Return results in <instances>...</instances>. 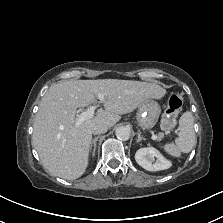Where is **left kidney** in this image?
I'll return each instance as SVG.
<instances>
[{
	"mask_svg": "<svg viewBox=\"0 0 223 223\" xmlns=\"http://www.w3.org/2000/svg\"><path fill=\"white\" fill-rule=\"evenodd\" d=\"M135 160L142 168L148 171L165 170L172 166L171 161L167 160L153 147H145L137 150Z\"/></svg>",
	"mask_w": 223,
	"mask_h": 223,
	"instance_id": "obj_1",
	"label": "left kidney"
}]
</instances>
